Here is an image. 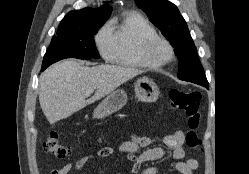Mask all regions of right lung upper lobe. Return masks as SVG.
Returning <instances> with one entry per match:
<instances>
[{
  "label": "right lung upper lobe",
  "instance_id": "right-lung-upper-lobe-1",
  "mask_svg": "<svg viewBox=\"0 0 249 174\" xmlns=\"http://www.w3.org/2000/svg\"><path fill=\"white\" fill-rule=\"evenodd\" d=\"M112 12V7L103 5L101 8H84L69 12L61 21L58 31H67L83 27L93 22L106 21Z\"/></svg>",
  "mask_w": 249,
  "mask_h": 174
}]
</instances>
